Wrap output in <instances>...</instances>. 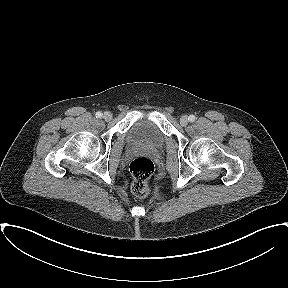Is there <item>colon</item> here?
<instances>
[{"mask_svg": "<svg viewBox=\"0 0 288 288\" xmlns=\"http://www.w3.org/2000/svg\"><path fill=\"white\" fill-rule=\"evenodd\" d=\"M130 171L133 177V194L140 198L146 197L149 194L148 180L154 172L153 162L145 157L136 158L130 164Z\"/></svg>", "mask_w": 288, "mask_h": 288, "instance_id": "colon-1", "label": "colon"}]
</instances>
